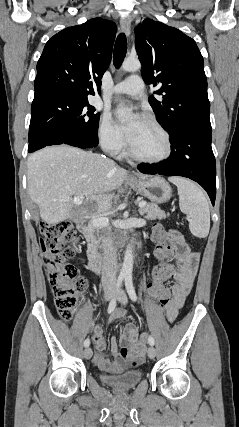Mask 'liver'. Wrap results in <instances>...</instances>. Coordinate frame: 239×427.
<instances>
[{"mask_svg": "<svg viewBox=\"0 0 239 427\" xmlns=\"http://www.w3.org/2000/svg\"><path fill=\"white\" fill-rule=\"evenodd\" d=\"M27 168L29 196L48 224L106 214L112 206L113 191L128 176V171L111 159L67 145L50 146L31 154ZM73 196L95 201V209L89 211L81 206L84 199L75 204Z\"/></svg>", "mask_w": 239, "mask_h": 427, "instance_id": "6515ba94", "label": "liver"}]
</instances>
